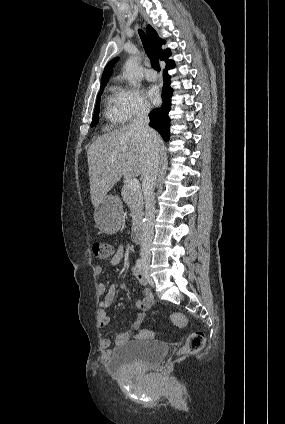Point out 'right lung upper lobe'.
Masks as SVG:
<instances>
[{
	"label": "right lung upper lobe",
	"instance_id": "cb5924a9",
	"mask_svg": "<svg viewBox=\"0 0 285 424\" xmlns=\"http://www.w3.org/2000/svg\"><path fill=\"white\" fill-rule=\"evenodd\" d=\"M147 34L152 42V45L158 55V57L161 60L166 61V65L173 62L172 60H168L167 58L171 55V51L169 49L162 50L161 46L165 43V41L158 37L157 32L148 25L147 27ZM118 58L113 59L110 61L103 72L102 79H101V87H104L107 84V81L109 80L112 72L113 65L117 62Z\"/></svg>",
	"mask_w": 285,
	"mask_h": 424
}]
</instances>
